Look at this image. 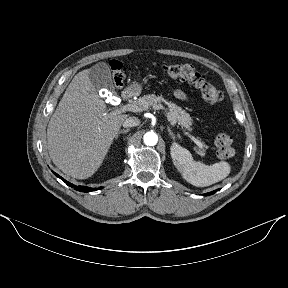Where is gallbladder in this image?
<instances>
[{"label":"gallbladder","instance_id":"bac80fb5","mask_svg":"<svg viewBox=\"0 0 288 288\" xmlns=\"http://www.w3.org/2000/svg\"><path fill=\"white\" fill-rule=\"evenodd\" d=\"M89 79L97 89L107 88L109 91H114L110 68L104 62H99L90 68Z\"/></svg>","mask_w":288,"mask_h":288}]
</instances>
